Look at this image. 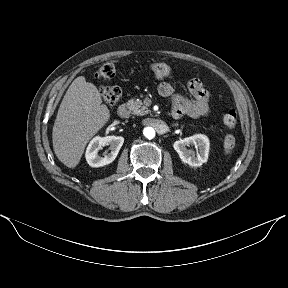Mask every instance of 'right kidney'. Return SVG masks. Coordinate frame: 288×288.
I'll return each instance as SVG.
<instances>
[{"label": "right kidney", "mask_w": 288, "mask_h": 288, "mask_svg": "<svg viewBox=\"0 0 288 288\" xmlns=\"http://www.w3.org/2000/svg\"><path fill=\"white\" fill-rule=\"evenodd\" d=\"M124 143V138L121 136H106L93 138L86 150V161L91 167H101L113 162ZM109 145L110 152L106 151L103 156H100L98 152L102 147Z\"/></svg>", "instance_id": "right-kidney-1"}]
</instances>
